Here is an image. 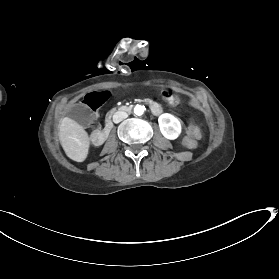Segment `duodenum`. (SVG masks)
<instances>
[{
    "label": "duodenum",
    "mask_w": 279,
    "mask_h": 279,
    "mask_svg": "<svg viewBox=\"0 0 279 279\" xmlns=\"http://www.w3.org/2000/svg\"><path fill=\"white\" fill-rule=\"evenodd\" d=\"M143 102L147 104L153 112H159L161 110V105L158 102H154L152 99L145 97ZM121 112H131L133 107L131 105H121L119 107ZM114 116L112 114H108L106 116L107 126L101 130L100 128H93L91 130V142L95 145L101 146L103 144V140L106 138L108 133L112 131L114 128Z\"/></svg>",
    "instance_id": "1"
}]
</instances>
